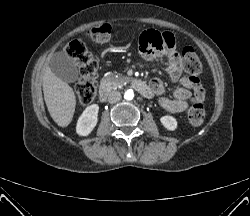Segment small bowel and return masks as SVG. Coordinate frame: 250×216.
I'll use <instances>...</instances> for the list:
<instances>
[{"label": "small bowel", "mask_w": 250, "mask_h": 216, "mask_svg": "<svg viewBox=\"0 0 250 216\" xmlns=\"http://www.w3.org/2000/svg\"><path fill=\"white\" fill-rule=\"evenodd\" d=\"M140 51L147 60L154 61L161 57L163 52L168 54L166 70L170 77L181 83L182 87L168 94L160 79L151 80L149 86L152 95L158 97V105L165 111L177 114L184 112L196 101H203L204 90L197 77L185 74L175 54V38L170 32L149 30L144 32L139 41Z\"/></svg>", "instance_id": "obj_1"}]
</instances>
